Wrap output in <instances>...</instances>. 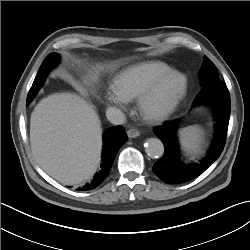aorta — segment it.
<instances>
[{"label":"aorta","instance_id":"obj_1","mask_svg":"<svg viewBox=\"0 0 250 250\" xmlns=\"http://www.w3.org/2000/svg\"><path fill=\"white\" fill-rule=\"evenodd\" d=\"M145 152L151 158H160L164 154V145L158 138H149L145 143Z\"/></svg>","mask_w":250,"mask_h":250}]
</instances>
